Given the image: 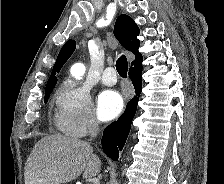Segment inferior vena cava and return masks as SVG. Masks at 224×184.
<instances>
[{
    "label": "inferior vena cava",
    "instance_id": "inferior-vena-cava-1",
    "mask_svg": "<svg viewBox=\"0 0 224 184\" xmlns=\"http://www.w3.org/2000/svg\"><path fill=\"white\" fill-rule=\"evenodd\" d=\"M88 132L91 137H96L99 132V122L95 117H92L88 124Z\"/></svg>",
    "mask_w": 224,
    "mask_h": 184
}]
</instances>
